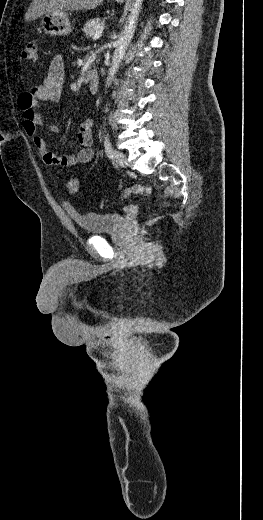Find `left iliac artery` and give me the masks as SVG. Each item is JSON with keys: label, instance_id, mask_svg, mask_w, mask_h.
I'll list each match as a JSON object with an SVG mask.
<instances>
[{"label": "left iliac artery", "instance_id": "1", "mask_svg": "<svg viewBox=\"0 0 263 520\" xmlns=\"http://www.w3.org/2000/svg\"><path fill=\"white\" fill-rule=\"evenodd\" d=\"M104 147H105V152H106L107 156L109 158H112V146H111L110 140L107 135H105Z\"/></svg>", "mask_w": 263, "mask_h": 520}]
</instances>
